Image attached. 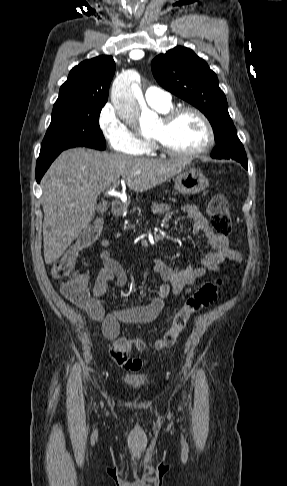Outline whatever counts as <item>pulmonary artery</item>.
Instances as JSON below:
<instances>
[{
  "instance_id": "pulmonary-artery-1",
  "label": "pulmonary artery",
  "mask_w": 287,
  "mask_h": 486,
  "mask_svg": "<svg viewBox=\"0 0 287 486\" xmlns=\"http://www.w3.org/2000/svg\"><path fill=\"white\" fill-rule=\"evenodd\" d=\"M145 99L150 106L156 109H164L171 105V95L155 86L146 89Z\"/></svg>"
}]
</instances>
